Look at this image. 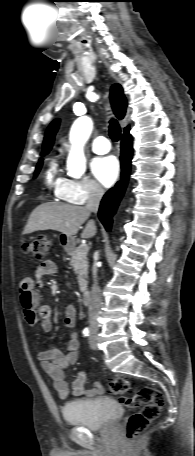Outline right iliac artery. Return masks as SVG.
I'll return each mask as SVG.
<instances>
[{
    "mask_svg": "<svg viewBox=\"0 0 195 456\" xmlns=\"http://www.w3.org/2000/svg\"><path fill=\"white\" fill-rule=\"evenodd\" d=\"M83 335H84V336H89V335H90V330H89V328H85V329L83 330Z\"/></svg>",
    "mask_w": 195,
    "mask_h": 456,
    "instance_id": "obj_1",
    "label": "right iliac artery"
}]
</instances>
